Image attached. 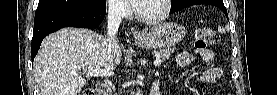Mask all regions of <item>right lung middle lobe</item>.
I'll list each match as a JSON object with an SVG mask.
<instances>
[{
    "mask_svg": "<svg viewBox=\"0 0 277 95\" xmlns=\"http://www.w3.org/2000/svg\"><path fill=\"white\" fill-rule=\"evenodd\" d=\"M104 3L105 0H39L37 11L56 7H92Z\"/></svg>",
    "mask_w": 277,
    "mask_h": 95,
    "instance_id": "dd1d6c3e",
    "label": "right lung middle lobe"
}]
</instances>
